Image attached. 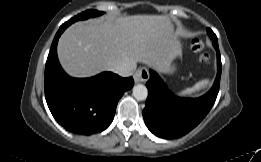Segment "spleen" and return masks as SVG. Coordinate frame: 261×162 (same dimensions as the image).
Wrapping results in <instances>:
<instances>
[{
	"instance_id": "spleen-1",
	"label": "spleen",
	"mask_w": 261,
	"mask_h": 162,
	"mask_svg": "<svg viewBox=\"0 0 261 162\" xmlns=\"http://www.w3.org/2000/svg\"><path fill=\"white\" fill-rule=\"evenodd\" d=\"M209 85V80L204 79L202 81L197 82L194 86L190 88H186L182 90L179 95L180 96H192L199 92L200 90L206 88Z\"/></svg>"
}]
</instances>
